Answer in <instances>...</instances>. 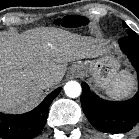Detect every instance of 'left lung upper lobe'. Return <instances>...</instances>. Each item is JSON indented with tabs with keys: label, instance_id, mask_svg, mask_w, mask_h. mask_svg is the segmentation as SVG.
Segmentation results:
<instances>
[{
	"label": "left lung upper lobe",
	"instance_id": "obj_1",
	"mask_svg": "<svg viewBox=\"0 0 139 139\" xmlns=\"http://www.w3.org/2000/svg\"><path fill=\"white\" fill-rule=\"evenodd\" d=\"M123 27L128 28V26H127V24H126L125 22L123 23ZM132 31H133V30H131V29H127V30H126V32H127L128 34H130Z\"/></svg>",
	"mask_w": 139,
	"mask_h": 139
}]
</instances>
